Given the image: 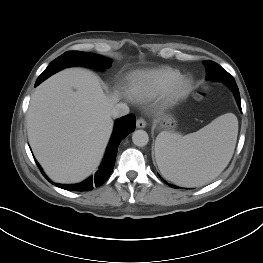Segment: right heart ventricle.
<instances>
[{"label":"right heart ventricle","mask_w":263,"mask_h":263,"mask_svg":"<svg viewBox=\"0 0 263 263\" xmlns=\"http://www.w3.org/2000/svg\"><path fill=\"white\" fill-rule=\"evenodd\" d=\"M180 70L162 66L134 72L128 81V94L136 100H146L163 93L181 76Z\"/></svg>","instance_id":"right-heart-ventricle-1"}]
</instances>
